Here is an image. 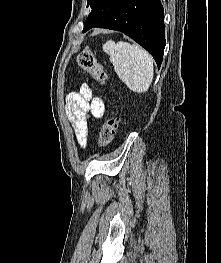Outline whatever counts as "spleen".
<instances>
[{"label": "spleen", "instance_id": "spleen-1", "mask_svg": "<svg viewBox=\"0 0 221 263\" xmlns=\"http://www.w3.org/2000/svg\"><path fill=\"white\" fill-rule=\"evenodd\" d=\"M103 51L109 55V60L118 77L132 91L146 92L153 80V58L144 49L127 42L112 40L103 45Z\"/></svg>", "mask_w": 221, "mask_h": 263}]
</instances>
